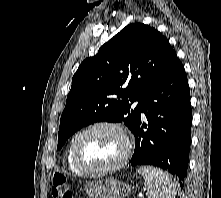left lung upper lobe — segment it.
<instances>
[{"label":"left lung upper lobe","mask_w":221,"mask_h":198,"mask_svg":"<svg viewBox=\"0 0 221 198\" xmlns=\"http://www.w3.org/2000/svg\"><path fill=\"white\" fill-rule=\"evenodd\" d=\"M175 51L155 28L132 23L85 59L72 78L60 119L57 150L77 130L98 121L124 122L133 132L149 90ZM138 105L131 109V104Z\"/></svg>","instance_id":"obj_1"}]
</instances>
